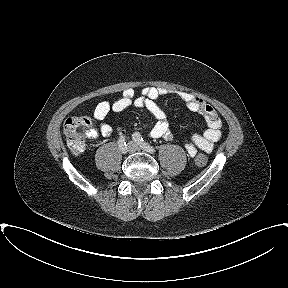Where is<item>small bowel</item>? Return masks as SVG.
Returning a JSON list of instances; mask_svg holds the SVG:
<instances>
[{"label":"small bowel","mask_w":288,"mask_h":288,"mask_svg":"<svg viewBox=\"0 0 288 288\" xmlns=\"http://www.w3.org/2000/svg\"><path fill=\"white\" fill-rule=\"evenodd\" d=\"M168 91L164 88L146 87L137 95L132 88L125 89L121 96L113 102L102 101L94 109V117L102 121L110 112H122L129 107L145 108L157 120L156 124L150 131L152 138H162L166 141H175V136L169 128L167 116L164 110L159 106L158 100L166 95ZM180 99L186 107L193 112L200 114L206 123L207 129L203 134H191L185 142V149L190 157H194L198 150L212 152L214 145L221 138L222 121L217 111L202 100L192 94L181 92L178 93ZM113 133V128L101 122L97 129L91 131V137H109Z\"/></svg>","instance_id":"small-bowel-1"}]
</instances>
